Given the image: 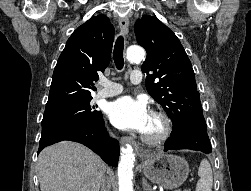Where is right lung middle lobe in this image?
I'll list each match as a JSON object with an SVG mask.
<instances>
[{
    "instance_id": "obj_1",
    "label": "right lung middle lobe",
    "mask_w": 251,
    "mask_h": 191,
    "mask_svg": "<svg viewBox=\"0 0 251 191\" xmlns=\"http://www.w3.org/2000/svg\"><path fill=\"white\" fill-rule=\"evenodd\" d=\"M91 100L92 98L46 108L42 120V131L70 121H82L91 124L100 122L103 119L102 113L94 110L97 106L92 105Z\"/></svg>"
}]
</instances>
